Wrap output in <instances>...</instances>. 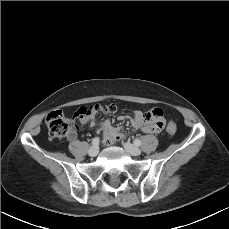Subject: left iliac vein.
Here are the masks:
<instances>
[{
	"label": "left iliac vein",
	"instance_id": "obj_1",
	"mask_svg": "<svg viewBox=\"0 0 229 229\" xmlns=\"http://www.w3.org/2000/svg\"><path fill=\"white\" fill-rule=\"evenodd\" d=\"M123 147L132 156H139L142 153L138 147L128 142L124 143Z\"/></svg>",
	"mask_w": 229,
	"mask_h": 229
}]
</instances>
